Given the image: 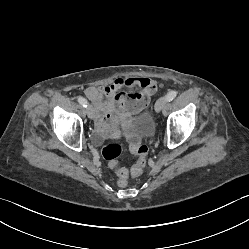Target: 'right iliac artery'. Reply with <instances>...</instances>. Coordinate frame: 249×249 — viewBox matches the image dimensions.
<instances>
[{
	"label": "right iliac artery",
	"instance_id": "obj_1",
	"mask_svg": "<svg viewBox=\"0 0 249 249\" xmlns=\"http://www.w3.org/2000/svg\"><path fill=\"white\" fill-rule=\"evenodd\" d=\"M78 102H79V104L80 105H82L83 107H87V100L84 98V97H81V96H79L78 97Z\"/></svg>",
	"mask_w": 249,
	"mask_h": 249
}]
</instances>
